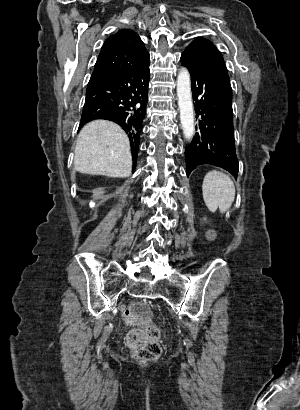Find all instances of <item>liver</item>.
Returning <instances> with one entry per match:
<instances>
[{
	"label": "liver",
	"instance_id": "obj_1",
	"mask_svg": "<svg viewBox=\"0 0 300 410\" xmlns=\"http://www.w3.org/2000/svg\"><path fill=\"white\" fill-rule=\"evenodd\" d=\"M74 168L83 174L129 177L132 157L127 134L106 120L86 124L77 138Z\"/></svg>",
	"mask_w": 300,
	"mask_h": 410
}]
</instances>
